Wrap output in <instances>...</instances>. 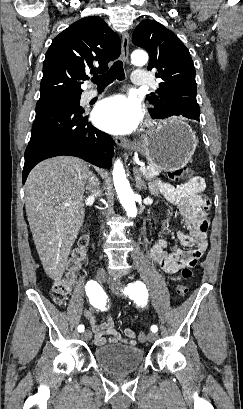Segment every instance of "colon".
Here are the masks:
<instances>
[{
  "label": "colon",
  "mask_w": 243,
  "mask_h": 409,
  "mask_svg": "<svg viewBox=\"0 0 243 409\" xmlns=\"http://www.w3.org/2000/svg\"><path fill=\"white\" fill-rule=\"evenodd\" d=\"M192 169L190 167H181L169 172L168 176L172 181L178 182L183 179L192 177ZM87 246V240L81 239L78 248H76L67 263V272L65 278L58 279L53 282L51 286V296L55 303L63 304L71 290L72 284L76 278L77 273L82 267V262L85 258V248ZM192 276L191 268L184 267L181 270V277L183 279H189ZM188 292V286L185 283H180L177 286V294L181 297L185 296ZM139 342L146 341V334L140 332L138 335Z\"/></svg>",
  "instance_id": "obj_1"
}]
</instances>
